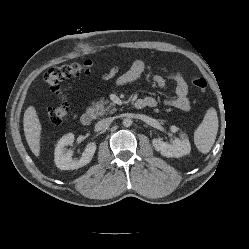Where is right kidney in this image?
<instances>
[{"label": "right kidney", "mask_w": 249, "mask_h": 249, "mask_svg": "<svg viewBox=\"0 0 249 249\" xmlns=\"http://www.w3.org/2000/svg\"><path fill=\"white\" fill-rule=\"evenodd\" d=\"M74 135L69 133L63 136L57 143L54 152V161L56 166L61 170H74L87 165L93 158L96 151V144L94 142L88 143L85 147L82 157L79 160H73V151L67 150L68 145L74 142Z\"/></svg>", "instance_id": "right-kidney-1"}]
</instances>
